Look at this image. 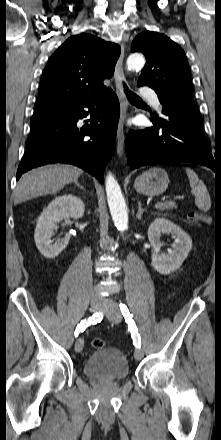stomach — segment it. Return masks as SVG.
Segmentation results:
<instances>
[{
  "mask_svg": "<svg viewBox=\"0 0 221 440\" xmlns=\"http://www.w3.org/2000/svg\"><path fill=\"white\" fill-rule=\"evenodd\" d=\"M168 184L167 172L162 168L153 167L135 179L134 188L140 194L155 196L162 194Z\"/></svg>",
  "mask_w": 221,
  "mask_h": 440,
  "instance_id": "stomach-1",
  "label": "stomach"
}]
</instances>
